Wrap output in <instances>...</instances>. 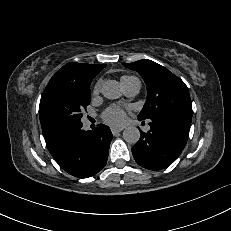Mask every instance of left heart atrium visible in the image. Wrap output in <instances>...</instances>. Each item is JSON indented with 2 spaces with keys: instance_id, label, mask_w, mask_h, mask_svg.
I'll use <instances>...</instances> for the list:
<instances>
[{
  "instance_id": "left-heart-atrium-1",
  "label": "left heart atrium",
  "mask_w": 231,
  "mask_h": 231,
  "mask_svg": "<svg viewBox=\"0 0 231 231\" xmlns=\"http://www.w3.org/2000/svg\"><path fill=\"white\" fill-rule=\"evenodd\" d=\"M103 119L112 126H121L126 122V113L123 109L112 106L104 111Z\"/></svg>"
}]
</instances>
